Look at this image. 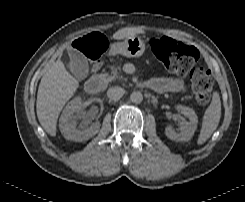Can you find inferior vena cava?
I'll use <instances>...</instances> for the list:
<instances>
[{"label": "inferior vena cava", "mask_w": 245, "mask_h": 202, "mask_svg": "<svg viewBox=\"0 0 245 202\" xmlns=\"http://www.w3.org/2000/svg\"><path fill=\"white\" fill-rule=\"evenodd\" d=\"M125 93V90L119 86H115V87H112V88H109L108 91H107V96L114 100V101H117L119 100Z\"/></svg>", "instance_id": "obj_1"}]
</instances>
